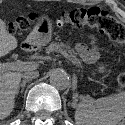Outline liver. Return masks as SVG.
Instances as JSON below:
<instances>
[{"label": "liver", "instance_id": "6515ba94", "mask_svg": "<svg viewBox=\"0 0 125 125\" xmlns=\"http://www.w3.org/2000/svg\"><path fill=\"white\" fill-rule=\"evenodd\" d=\"M17 46V39L7 31L5 22L0 19V57ZM22 76L21 72H0V119L6 118L13 111L16 91Z\"/></svg>", "mask_w": 125, "mask_h": 125}]
</instances>
